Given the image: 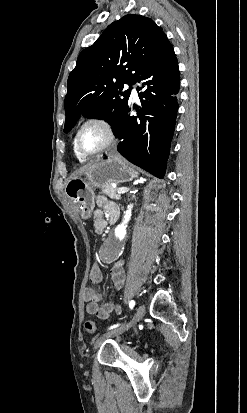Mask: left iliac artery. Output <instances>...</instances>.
I'll list each match as a JSON object with an SVG mask.
<instances>
[{
  "mask_svg": "<svg viewBox=\"0 0 247 413\" xmlns=\"http://www.w3.org/2000/svg\"><path fill=\"white\" fill-rule=\"evenodd\" d=\"M134 305H135V301H134V300H131V301L129 302V307H130V309H133ZM118 326H119V324L113 325V326H111L109 329H113V328H116V327H118Z\"/></svg>",
  "mask_w": 247,
  "mask_h": 413,
  "instance_id": "obj_1",
  "label": "left iliac artery"
}]
</instances>
